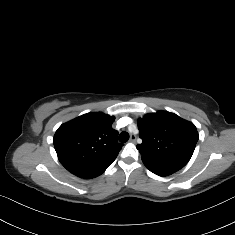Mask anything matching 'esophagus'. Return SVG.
Returning <instances> with one entry per match:
<instances>
[{
    "label": "esophagus",
    "instance_id": "34e87169",
    "mask_svg": "<svg viewBox=\"0 0 235 235\" xmlns=\"http://www.w3.org/2000/svg\"><path fill=\"white\" fill-rule=\"evenodd\" d=\"M130 142H135L136 141V135H134V134H131L130 135V140H129Z\"/></svg>",
    "mask_w": 235,
    "mask_h": 235
}]
</instances>
